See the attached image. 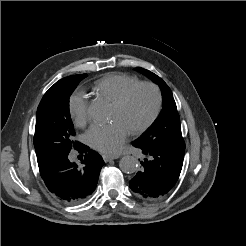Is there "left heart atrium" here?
<instances>
[{
  "mask_svg": "<svg viewBox=\"0 0 246 246\" xmlns=\"http://www.w3.org/2000/svg\"><path fill=\"white\" fill-rule=\"evenodd\" d=\"M129 134V129L123 122L114 119L105 124H93L86 132L87 143L94 149L114 154L120 150L121 145Z\"/></svg>",
  "mask_w": 246,
  "mask_h": 246,
  "instance_id": "1",
  "label": "left heart atrium"
}]
</instances>
